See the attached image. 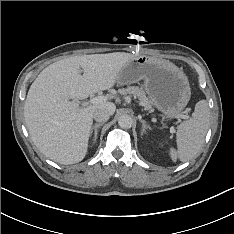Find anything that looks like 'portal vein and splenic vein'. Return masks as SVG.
Segmentation results:
<instances>
[{
  "mask_svg": "<svg viewBox=\"0 0 234 234\" xmlns=\"http://www.w3.org/2000/svg\"><path fill=\"white\" fill-rule=\"evenodd\" d=\"M109 96H98V97H95V98H92L90 99L89 103L90 104H100V103H104V102H107L109 100ZM183 118H188L187 115L183 116Z\"/></svg>",
  "mask_w": 234,
  "mask_h": 234,
  "instance_id": "portal-vein-and-splenic-vein-1",
  "label": "portal vein and splenic vein"
}]
</instances>
